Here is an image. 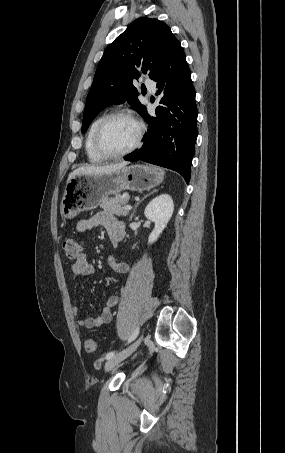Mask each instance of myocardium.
<instances>
[{
	"label": "myocardium",
	"mask_w": 285,
	"mask_h": 453,
	"mask_svg": "<svg viewBox=\"0 0 285 453\" xmlns=\"http://www.w3.org/2000/svg\"><path fill=\"white\" fill-rule=\"evenodd\" d=\"M118 117H126V118L132 120L137 125L138 132H137L136 140L133 143V145H131L128 149H126L124 151L113 153V152L107 151L104 148V146L102 144V135H103L104 129L107 126V124L111 120L118 118ZM144 135H145V125L134 113H132L129 110H125V109L116 110L114 112H111V113L105 115L104 118L98 124L95 134H94V147H95V150L97 151V153L105 159L121 158V157L127 156V155L131 154L132 152H134L135 150H137L142 144Z\"/></svg>",
	"instance_id": "myocardium-1"
}]
</instances>
